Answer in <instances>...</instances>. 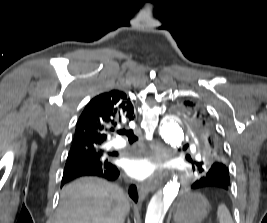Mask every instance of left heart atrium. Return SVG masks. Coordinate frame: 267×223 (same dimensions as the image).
Listing matches in <instances>:
<instances>
[{"instance_id":"1","label":"left heart atrium","mask_w":267,"mask_h":223,"mask_svg":"<svg viewBox=\"0 0 267 223\" xmlns=\"http://www.w3.org/2000/svg\"><path fill=\"white\" fill-rule=\"evenodd\" d=\"M157 166L155 161L141 156L129 158L125 162L127 173L136 179H147L152 176Z\"/></svg>"}]
</instances>
